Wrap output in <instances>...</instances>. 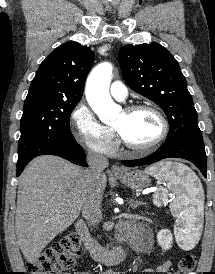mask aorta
I'll use <instances>...</instances> for the list:
<instances>
[{
  "mask_svg": "<svg viewBox=\"0 0 215 274\" xmlns=\"http://www.w3.org/2000/svg\"><path fill=\"white\" fill-rule=\"evenodd\" d=\"M111 75L112 65L103 62L92 70L86 84V99L103 123H109L121 111L109 94Z\"/></svg>",
  "mask_w": 215,
  "mask_h": 274,
  "instance_id": "762f6f07",
  "label": "aorta"
}]
</instances>
